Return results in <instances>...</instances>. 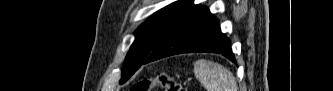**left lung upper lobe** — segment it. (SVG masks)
Instances as JSON below:
<instances>
[{"label":"left lung upper lobe","instance_id":"obj_1","mask_svg":"<svg viewBox=\"0 0 333 91\" xmlns=\"http://www.w3.org/2000/svg\"><path fill=\"white\" fill-rule=\"evenodd\" d=\"M193 6L189 0L172 3L137 29L136 39L125 58L120 84L134 74L174 23Z\"/></svg>","mask_w":333,"mask_h":91}]
</instances>
